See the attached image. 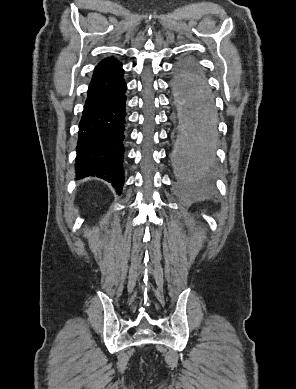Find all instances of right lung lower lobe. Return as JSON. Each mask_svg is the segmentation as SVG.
Here are the masks:
<instances>
[{
    "instance_id": "right-lung-lower-lobe-1",
    "label": "right lung lower lobe",
    "mask_w": 296,
    "mask_h": 389,
    "mask_svg": "<svg viewBox=\"0 0 296 389\" xmlns=\"http://www.w3.org/2000/svg\"><path fill=\"white\" fill-rule=\"evenodd\" d=\"M126 84L118 91L85 103L79 123L75 171L111 182L118 194L124 184Z\"/></svg>"
}]
</instances>
